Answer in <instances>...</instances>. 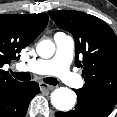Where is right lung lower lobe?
<instances>
[{
  "label": "right lung lower lobe",
  "instance_id": "right-lung-lower-lobe-1",
  "mask_svg": "<svg viewBox=\"0 0 117 117\" xmlns=\"http://www.w3.org/2000/svg\"><path fill=\"white\" fill-rule=\"evenodd\" d=\"M39 92L34 81L19 83L0 98V117H25L31 99Z\"/></svg>",
  "mask_w": 117,
  "mask_h": 117
}]
</instances>
